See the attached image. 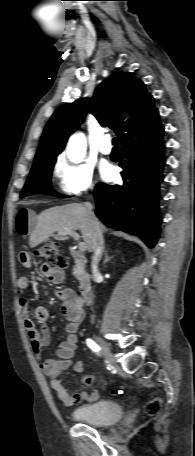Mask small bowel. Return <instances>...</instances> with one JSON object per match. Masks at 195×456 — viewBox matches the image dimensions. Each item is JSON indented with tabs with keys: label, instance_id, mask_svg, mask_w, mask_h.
<instances>
[{
	"label": "small bowel",
	"instance_id": "c3829d8e",
	"mask_svg": "<svg viewBox=\"0 0 195 456\" xmlns=\"http://www.w3.org/2000/svg\"><path fill=\"white\" fill-rule=\"evenodd\" d=\"M33 214L29 209H21L16 216V230L20 235H28L31 231ZM19 261L25 267H32V259L27 252L19 254ZM39 273L46 277L53 284H60L64 281L65 271L63 267H52L43 263L38 267ZM30 287V281L27 277H21L17 281V290L21 295L19 303L22 310L24 325L30 340L31 348L34 354L40 358L42 349L49 345L51 341V331L45 321L48 318V311L43 306H33L25 297ZM56 298L61 303L62 313L67 321L65 332L67 334L56 351L55 358L44 359L41 367L49 379L51 388L56 392L58 399L65 406H74L82 401L92 402L98 399L97 390L92 392H81L70 395L62 385L59 376L67 370L73 363L78 343V328L84 319L83 305L72 289H59L55 292ZM34 321L41 322L43 325L38 328ZM75 370L79 373L84 371V365L81 361L75 363ZM84 385L92 386L95 383V376L85 374L82 379Z\"/></svg>",
	"mask_w": 195,
	"mask_h": 456
}]
</instances>
